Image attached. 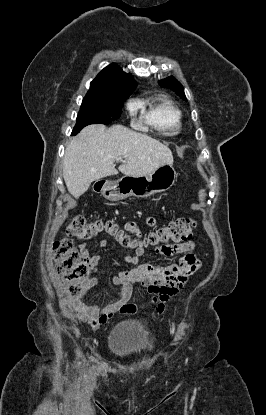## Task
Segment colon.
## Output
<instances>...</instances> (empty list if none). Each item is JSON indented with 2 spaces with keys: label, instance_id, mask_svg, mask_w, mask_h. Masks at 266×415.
I'll use <instances>...</instances> for the list:
<instances>
[{
  "label": "colon",
  "instance_id": "1",
  "mask_svg": "<svg viewBox=\"0 0 266 415\" xmlns=\"http://www.w3.org/2000/svg\"><path fill=\"white\" fill-rule=\"evenodd\" d=\"M105 232L116 238L121 244L131 247L135 241L112 220H89L82 215L75 216L67 226V235L87 240ZM195 234V221L178 218L167 225L154 229L142 242L152 246L170 245L186 242ZM54 254L59 275L67 282L70 291L77 294L81 290V281L88 273V264L83 254L76 249L70 238H63L54 244Z\"/></svg>",
  "mask_w": 266,
  "mask_h": 415
}]
</instances>
